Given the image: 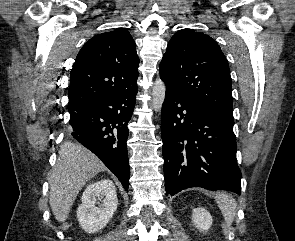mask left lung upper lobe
<instances>
[{"mask_svg":"<svg viewBox=\"0 0 295 241\" xmlns=\"http://www.w3.org/2000/svg\"><path fill=\"white\" fill-rule=\"evenodd\" d=\"M159 72L166 87L234 124L229 65L210 36L191 29L176 32Z\"/></svg>","mask_w":295,"mask_h":241,"instance_id":"1","label":"left lung upper lobe"}]
</instances>
